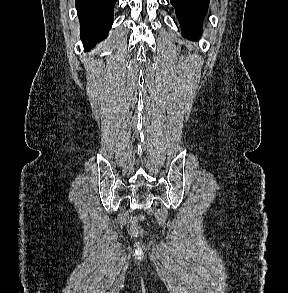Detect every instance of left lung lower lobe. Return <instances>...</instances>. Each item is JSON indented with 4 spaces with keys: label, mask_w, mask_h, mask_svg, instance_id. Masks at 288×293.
I'll return each mask as SVG.
<instances>
[{
    "label": "left lung lower lobe",
    "mask_w": 288,
    "mask_h": 293,
    "mask_svg": "<svg viewBox=\"0 0 288 293\" xmlns=\"http://www.w3.org/2000/svg\"><path fill=\"white\" fill-rule=\"evenodd\" d=\"M181 23L183 36L190 40L201 37V23L209 0H170Z\"/></svg>",
    "instance_id": "obj_1"
}]
</instances>
